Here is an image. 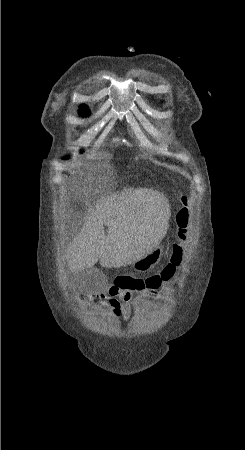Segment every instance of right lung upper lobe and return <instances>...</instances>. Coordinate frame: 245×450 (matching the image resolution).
<instances>
[{
    "instance_id": "right-lung-upper-lobe-1",
    "label": "right lung upper lobe",
    "mask_w": 245,
    "mask_h": 450,
    "mask_svg": "<svg viewBox=\"0 0 245 450\" xmlns=\"http://www.w3.org/2000/svg\"><path fill=\"white\" fill-rule=\"evenodd\" d=\"M80 109H81V110H80V113H82V112L88 110V109L86 108L85 105H82V106L80 107Z\"/></svg>"
}]
</instances>
